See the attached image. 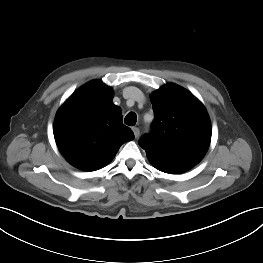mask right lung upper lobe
I'll list each match as a JSON object with an SVG mask.
<instances>
[{"mask_svg": "<svg viewBox=\"0 0 263 263\" xmlns=\"http://www.w3.org/2000/svg\"><path fill=\"white\" fill-rule=\"evenodd\" d=\"M113 91L93 80L74 92L60 107L54 122L56 144L73 166L98 170L112 161L125 142L134 139L123 124L122 110Z\"/></svg>", "mask_w": 263, "mask_h": 263, "instance_id": "1", "label": "right lung upper lobe"}]
</instances>
